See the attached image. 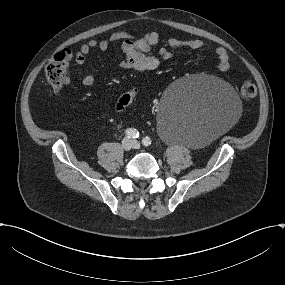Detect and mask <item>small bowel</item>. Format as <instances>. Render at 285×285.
Returning a JSON list of instances; mask_svg holds the SVG:
<instances>
[{"label":"small bowel","instance_id":"small-bowel-1","mask_svg":"<svg viewBox=\"0 0 285 285\" xmlns=\"http://www.w3.org/2000/svg\"><path fill=\"white\" fill-rule=\"evenodd\" d=\"M121 43L122 59L118 65L124 70L149 71L156 69L161 60H169L173 57L172 50L188 48L191 50H200L208 46L206 42L200 39L194 40H179L170 38L167 41V46L160 47L158 53H152V49L157 46L159 36L156 32H148L142 37H134L126 32L113 33L109 38L96 40L91 39L80 46L75 53V61L78 65H83L86 57L91 51L99 49L106 51L113 43ZM214 54L218 59L220 71L226 72L230 69V56L224 47H216ZM81 82L85 86H91L95 77L91 71L81 74ZM71 82L69 77H66L62 86H67Z\"/></svg>","mask_w":285,"mask_h":285}]
</instances>
